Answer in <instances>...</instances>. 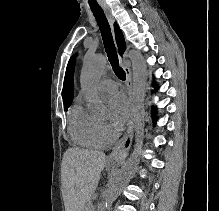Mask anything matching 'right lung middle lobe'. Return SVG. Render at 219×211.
<instances>
[{"mask_svg": "<svg viewBox=\"0 0 219 211\" xmlns=\"http://www.w3.org/2000/svg\"><path fill=\"white\" fill-rule=\"evenodd\" d=\"M70 105L64 106V110H67Z\"/></svg>", "mask_w": 219, "mask_h": 211, "instance_id": "1", "label": "right lung middle lobe"}]
</instances>
